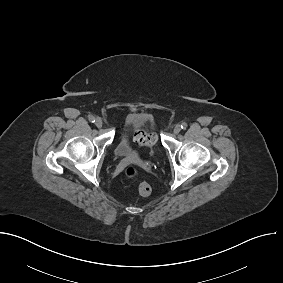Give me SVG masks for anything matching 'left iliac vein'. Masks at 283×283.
<instances>
[{
	"instance_id": "left-iliac-vein-1",
	"label": "left iliac vein",
	"mask_w": 283,
	"mask_h": 283,
	"mask_svg": "<svg viewBox=\"0 0 283 283\" xmlns=\"http://www.w3.org/2000/svg\"><path fill=\"white\" fill-rule=\"evenodd\" d=\"M180 131H181L180 125H176V126L174 127V133H175V134H178Z\"/></svg>"
}]
</instances>
